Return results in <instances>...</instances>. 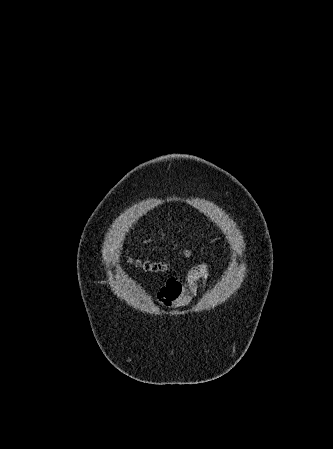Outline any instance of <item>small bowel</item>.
<instances>
[{
    "label": "small bowel",
    "mask_w": 333,
    "mask_h": 449,
    "mask_svg": "<svg viewBox=\"0 0 333 449\" xmlns=\"http://www.w3.org/2000/svg\"><path fill=\"white\" fill-rule=\"evenodd\" d=\"M210 280L209 265L207 263L195 265L183 278H170L158 292V302L166 308H179L188 297L197 292L200 284L207 286Z\"/></svg>",
    "instance_id": "c3829d8e"
}]
</instances>
